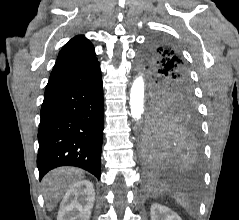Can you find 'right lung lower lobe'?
Returning a JSON list of instances; mask_svg holds the SVG:
<instances>
[{"label":"right lung lower lobe","mask_w":239,"mask_h":220,"mask_svg":"<svg viewBox=\"0 0 239 220\" xmlns=\"http://www.w3.org/2000/svg\"><path fill=\"white\" fill-rule=\"evenodd\" d=\"M103 113L97 60L49 79L38 130L40 179L60 166L80 167L100 178Z\"/></svg>","instance_id":"right-lung-lower-lobe-1"}]
</instances>
